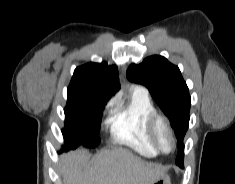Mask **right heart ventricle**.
Segmentation results:
<instances>
[{"mask_svg":"<svg viewBox=\"0 0 235 184\" xmlns=\"http://www.w3.org/2000/svg\"><path fill=\"white\" fill-rule=\"evenodd\" d=\"M155 113V106L149 96L134 92L126 104L116 107L111 112L110 130L113 141L140 155L156 156L158 152L148 131L149 119ZM129 150H115L110 153V157L119 161L124 160Z\"/></svg>","mask_w":235,"mask_h":184,"instance_id":"right-heart-ventricle-1","label":"right heart ventricle"}]
</instances>
